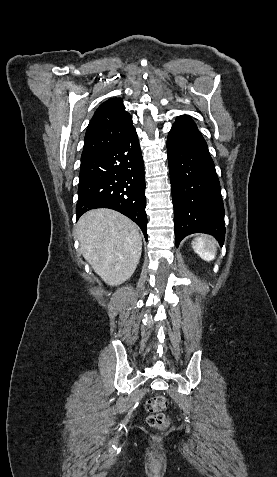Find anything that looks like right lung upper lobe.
<instances>
[{
  "mask_svg": "<svg viewBox=\"0 0 277 477\" xmlns=\"http://www.w3.org/2000/svg\"><path fill=\"white\" fill-rule=\"evenodd\" d=\"M133 128L132 117L125 111L121 98L105 101L98 107L87 127L81 159L116 144Z\"/></svg>",
  "mask_w": 277,
  "mask_h": 477,
  "instance_id": "1",
  "label": "right lung upper lobe"
}]
</instances>
